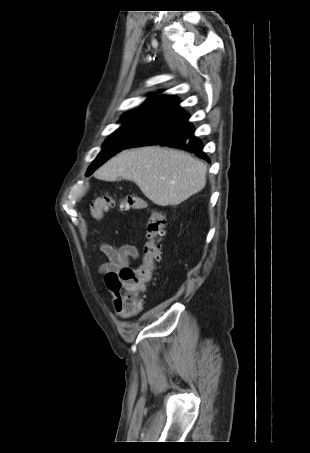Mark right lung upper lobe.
<instances>
[{
    "label": "right lung upper lobe",
    "instance_id": "obj_1",
    "mask_svg": "<svg viewBox=\"0 0 310 453\" xmlns=\"http://www.w3.org/2000/svg\"><path fill=\"white\" fill-rule=\"evenodd\" d=\"M178 98L172 95H162L146 100L138 109L131 110L123 117H154L159 118L167 110L178 104Z\"/></svg>",
    "mask_w": 310,
    "mask_h": 453
}]
</instances>
